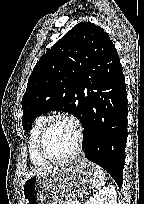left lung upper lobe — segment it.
I'll list each match as a JSON object with an SVG mask.
<instances>
[{"instance_id":"obj_1","label":"left lung upper lobe","mask_w":144,"mask_h":204,"mask_svg":"<svg viewBox=\"0 0 144 204\" xmlns=\"http://www.w3.org/2000/svg\"><path fill=\"white\" fill-rule=\"evenodd\" d=\"M118 54L108 34L90 22H80L48 49L35 65L22 98V126L29 131L42 113L53 110L86 117V73Z\"/></svg>"}]
</instances>
